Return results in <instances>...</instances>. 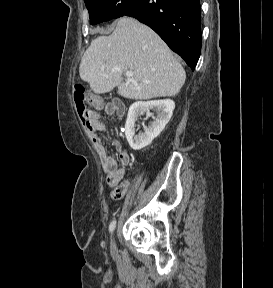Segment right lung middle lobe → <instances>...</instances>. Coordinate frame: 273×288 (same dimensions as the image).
<instances>
[{
  "label": "right lung middle lobe",
  "mask_w": 273,
  "mask_h": 288,
  "mask_svg": "<svg viewBox=\"0 0 273 288\" xmlns=\"http://www.w3.org/2000/svg\"><path fill=\"white\" fill-rule=\"evenodd\" d=\"M136 0H84L90 23L98 24L125 14Z\"/></svg>",
  "instance_id": "obj_1"
}]
</instances>
